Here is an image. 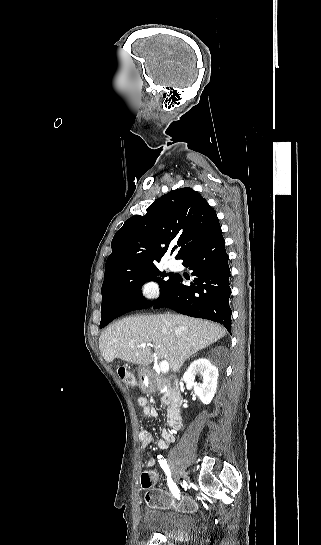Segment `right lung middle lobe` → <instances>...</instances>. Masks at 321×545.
Masks as SVG:
<instances>
[{
	"mask_svg": "<svg viewBox=\"0 0 321 545\" xmlns=\"http://www.w3.org/2000/svg\"><path fill=\"white\" fill-rule=\"evenodd\" d=\"M169 276V280L164 281L162 277ZM176 274L160 272L158 268L152 267L126 276L123 281L114 288L102 289V305L113 295L132 296L144 304L148 302L141 293V287L147 281H156L160 285V295L168 288ZM104 318H101L100 328H103Z\"/></svg>",
	"mask_w": 321,
	"mask_h": 545,
	"instance_id": "dd1d6c3e",
	"label": "right lung middle lobe"
}]
</instances>
